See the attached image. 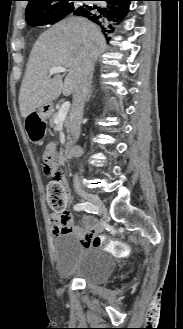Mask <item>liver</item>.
<instances>
[{
  "instance_id": "liver-1",
  "label": "liver",
  "mask_w": 183,
  "mask_h": 329,
  "mask_svg": "<svg viewBox=\"0 0 183 329\" xmlns=\"http://www.w3.org/2000/svg\"><path fill=\"white\" fill-rule=\"evenodd\" d=\"M105 47L101 29L83 17L64 19L42 33L32 48L20 87L21 116L28 117L62 92L68 95L75 91L83 59L96 61ZM58 66L69 68L64 82L60 74L48 78L49 70Z\"/></svg>"
}]
</instances>
